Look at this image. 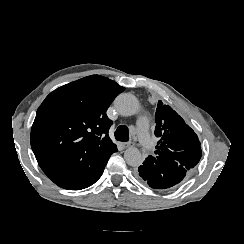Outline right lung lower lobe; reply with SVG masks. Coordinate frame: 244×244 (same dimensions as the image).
<instances>
[{"instance_id":"98d812e1","label":"right lung lower lobe","mask_w":244,"mask_h":244,"mask_svg":"<svg viewBox=\"0 0 244 244\" xmlns=\"http://www.w3.org/2000/svg\"><path fill=\"white\" fill-rule=\"evenodd\" d=\"M116 151L117 148H114L98 158L86 159L81 164L52 176L50 179L58 186L69 190H80L89 187L100 178L109 157Z\"/></svg>"}]
</instances>
